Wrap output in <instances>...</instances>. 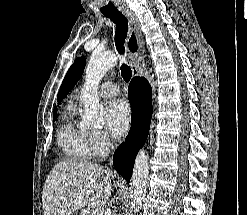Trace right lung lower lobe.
Listing matches in <instances>:
<instances>
[{
  "label": "right lung lower lobe",
  "instance_id": "1",
  "mask_svg": "<svg viewBox=\"0 0 247 215\" xmlns=\"http://www.w3.org/2000/svg\"><path fill=\"white\" fill-rule=\"evenodd\" d=\"M132 110L130 131L113 156L115 170L130 182L135 157L144 145L152 117V88L144 77H134L128 87Z\"/></svg>",
  "mask_w": 247,
  "mask_h": 215
}]
</instances>
